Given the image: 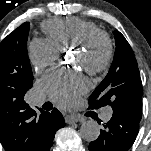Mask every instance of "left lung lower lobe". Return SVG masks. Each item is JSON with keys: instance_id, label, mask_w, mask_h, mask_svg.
I'll return each instance as SVG.
<instances>
[{"instance_id": "1", "label": "left lung lower lobe", "mask_w": 151, "mask_h": 151, "mask_svg": "<svg viewBox=\"0 0 151 151\" xmlns=\"http://www.w3.org/2000/svg\"><path fill=\"white\" fill-rule=\"evenodd\" d=\"M139 123L112 116L105 123L97 140L89 144V151H128L138 134Z\"/></svg>"}]
</instances>
